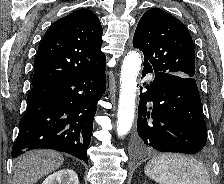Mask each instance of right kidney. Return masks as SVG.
I'll use <instances>...</instances> for the list:
<instances>
[{"mask_svg":"<svg viewBox=\"0 0 224 184\" xmlns=\"http://www.w3.org/2000/svg\"><path fill=\"white\" fill-rule=\"evenodd\" d=\"M42 184H79V180L72 169H63L49 175Z\"/></svg>","mask_w":224,"mask_h":184,"instance_id":"right-kidney-1","label":"right kidney"}]
</instances>
